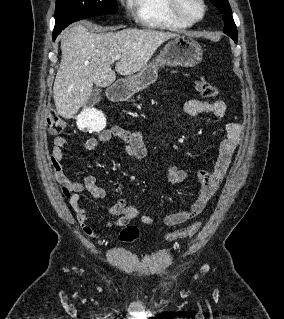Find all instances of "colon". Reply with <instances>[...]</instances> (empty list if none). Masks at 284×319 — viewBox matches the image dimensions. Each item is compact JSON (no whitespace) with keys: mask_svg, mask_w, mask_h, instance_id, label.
Returning <instances> with one entry per match:
<instances>
[{"mask_svg":"<svg viewBox=\"0 0 284 319\" xmlns=\"http://www.w3.org/2000/svg\"><path fill=\"white\" fill-rule=\"evenodd\" d=\"M195 88L203 97L215 98L219 94L217 87L203 77L196 81ZM65 127V122L55 113L50 114L46 119L47 131L53 136L62 133ZM200 227L201 222H195L187 227L169 233L165 239L167 241H174L181 238L191 237L200 229ZM138 236V228L135 226H128L121 231L119 238L124 242H132L136 240Z\"/></svg>","mask_w":284,"mask_h":319,"instance_id":"1","label":"colon"}]
</instances>
